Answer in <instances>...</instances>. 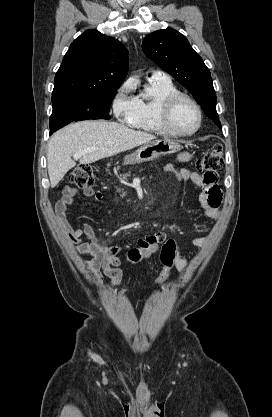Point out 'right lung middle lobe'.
<instances>
[{"instance_id": "1", "label": "right lung middle lobe", "mask_w": 272, "mask_h": 417, "mask_svg": "<svg viewBox=\"0 0 272 417\" xmlns=\"http://www.w3.org/2000/svg\"><path fill=\"white\" fill-rule=\"evenodd\" d=\"M117 89L52 95L50 134L72 121L110 119L108 112Z\"/></svg>"}]
</instances>
